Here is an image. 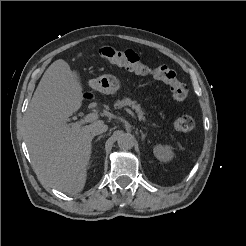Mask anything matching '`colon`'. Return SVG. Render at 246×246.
I'll return each mask as SVG.
<instances>
[{
    "instance_id": "colon-1",
    "label": "colon",
    "mask_w": 246,
    "mask_h": 246,
    "mask_svg": "<svg viewBox=\"0 0 246 246\" xmlns=\"http://www.w3.org/2000/svg\"><path fill=\"white\" fill-rule=\"evenodd\" d=\"M101 57L118 67L134 71L142 75H152L155 79L169 86L174 101H182L187 97V86L178 80L176 73L167 66L152 67L145 64L132 50H120L114 46H105L100 50ZM195 126L189 115H181L174 119L173 127L179 132H190Z\"/></svg>"
}]
</instances>
